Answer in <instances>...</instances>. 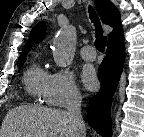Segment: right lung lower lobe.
<instances>
[{
	"label": "right lung lower lobe",
	"mask_w": 144,
	"mask_h": 137,
	"mask_svg": "<svg viewBox=\"0 0 144 137\" xmlns=\"http://www.w3.org/2000/svg\"><path fill=\"white\" fill-rule=\"evenodd\" d=\"M125 60L123 39L108 44L106 56L99 66L100 91L91 98L87 109V121L103 137H111L110 107L120 80Z\"/></svg>",
	"instance_id": "98d812e1"
}]
</instances>
